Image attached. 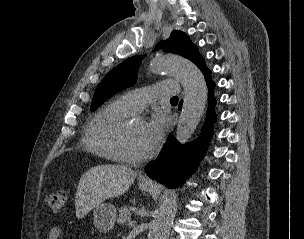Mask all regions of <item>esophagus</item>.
<instances>
[{"label":"esophagus","instance_id":"34e87169","mask_svg":"<svg viewBox=\"0 0 304 239\" xmlns=\"http://www.w3.org/2000/svg\"><path fill=\"white\" fill-rule=\"evenodd\" d=\"M140 182H142V183H145V184H151L152 183V180H150L148 177H146V176H142V177H140Z\"/></svg>","mask_w":304,"mask_h":239}]
</instances>
